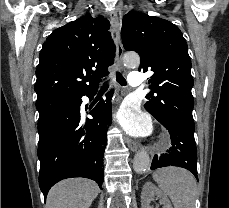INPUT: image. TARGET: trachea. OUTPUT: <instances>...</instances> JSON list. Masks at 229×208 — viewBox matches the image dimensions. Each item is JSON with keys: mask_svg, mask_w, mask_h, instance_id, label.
Here are the masks:
<instances>
[{"mask_svg": "<svg viewBox=\"0 0 229 208\" xmlns=\"http://www.w3.org/2000/svg\"><path fill=\"white\" fill-rule=\"evenodd\" d=\"M115 74H116V80L121 86L127 85L126 79L123 77V75L118 70L115 72ZM109 83H110V80L104 81L100 87V91H106L109 87Z\"/></svg>", "mask_w": 229, "mask_h": 208, "instance_id": "3493384b", "label": "trachea"}]
</instances>
